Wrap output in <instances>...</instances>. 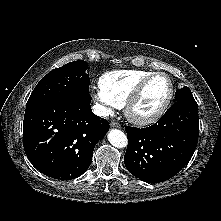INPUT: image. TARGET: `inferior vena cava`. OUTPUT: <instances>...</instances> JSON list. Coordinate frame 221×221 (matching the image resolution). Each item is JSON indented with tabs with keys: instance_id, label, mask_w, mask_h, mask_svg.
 Segmentation results:
<instances>
[{
	"instance_id": "602c4592",
	"label": "inferior vena cava",
	"mask_w": 221,
	"mask_h": 221,
	"mask_svg": "<svg viewBox=\"0 0 221 221\" xmlns=\"http://www.w3.org/2000/svg\"><path fill=\"white\" fill-rule=\"evenodd\" d=\"M92 108H93V112L98 116H102V117L109 116L108 110L100 104H95Z\"/></svg>"
}]
</instances>
